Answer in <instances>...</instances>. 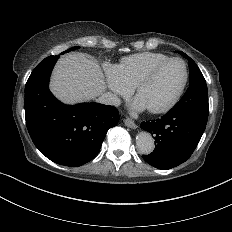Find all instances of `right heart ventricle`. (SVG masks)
<instances>
[{"label":"right heart ventricle","mask_w":232,"mask_h":232,"mask_svg":"<svg viewBox=\"0 0 232 232\" xmlns=\"http://www.w3.org/2000/svg\"><path fill=\"white\" fill-rule=\"evenodd\" d=\"M167 58L169 55L158 51H141L124 56L116 65L117 75L131 89L140 76Z\"/></svg>","instance_id":"1"}]
</instances>
